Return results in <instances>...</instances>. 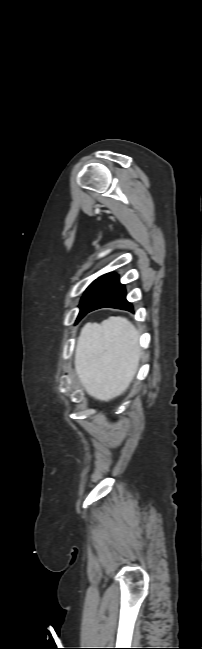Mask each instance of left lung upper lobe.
Wrapping results in <instances>:
<instances>
[{"label": "left lung upper lobe", "instance_id": "1", "mask_svg": "<svg viewBox=\"0 0 202 649\" xmlns=\"http://www.w3.org/2000/svg\"><path fill=\"white\" fill-rule=\"evenodd\" d=\"M115 275H116L115 273L105 274L90 284V286L86 289L81 299L79 305L80 313L78 315V318L82 316L86 307L100 295V293L106 288V286L115 277Z\"/></svg>", "mask_w": 202, "mask_h": 649}]
</instances>
